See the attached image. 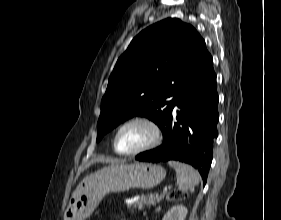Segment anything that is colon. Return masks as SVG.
<instances>
[{
    "label": "colon",
    "mask_w": 281,
    "mask_h": 220,
    "mask_svg": "<svg viewBox=\"0 0 281 220\" xmlns=\"http://www.w3.org/2000/svg\"><path fill=\"white\" fill-rule=\"evenodd\" d=\"M185 193L182 192V191H173L171 194H170V197L174 200H181L185 197Z\"/></svg>",
    "instance_id": "colon-1"
}]
</instances>
